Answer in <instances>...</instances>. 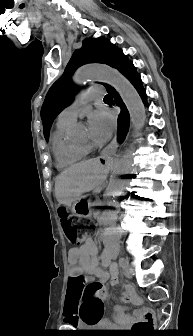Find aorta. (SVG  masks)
Returning <instances> with one entry per match:
<instances>
[{
    "label": "aorta",
    "mask_w": 193,
    "mask_h": 336,
    "mask_svg": "<svg viewBox=\"0 0 193 336\" xmlns=\"http://www.w3.org/2000/svg\"><path fill=\"white\" fill-rule=\"evenodd\" d=\"M73 80L78 85L89 80H100L112 85L128 109L135 134L139 135L146 120L144 104L136 89L121 73L107 65H85L77 69ZM72 133L74 136H78L80 129L75 128ZM131 164V153L127 150L114 166L113 177L108 186L110 198L108 204L110 206L118 205L117 198L122 195L124 190L125 182L122 177L129 172Z\"/></svg>",
    "instance_id": "aorta-1"
}]
</instances>
